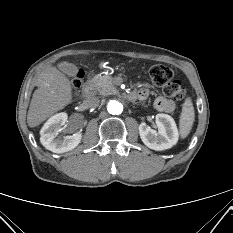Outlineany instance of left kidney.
<instances>
[{
	"mask_svg": "<svg viewBox=\"0 0 233 233\" xmlns=\"http://www.w3.org/2000/svg\"><path fill=\"white\" fill-rule=\"evenodd\" d=\"M158 132L146 123L139 125V134L142 142L150 149L162 151L173 147L179 138L178 129L174 119L167 114L155 116Z\"/></svg>",
	"mask_w": 233,
	"mask_h": 233,
	"instance_id": "1",
	"label": "left kidney"
}]
</instances>
